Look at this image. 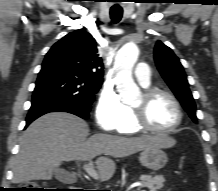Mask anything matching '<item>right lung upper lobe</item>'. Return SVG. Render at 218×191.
Instances as JSON below:
<instances>
[{
    "label": "right lung upper lobe",
    "mask_w": 218,
    "mask_h": 191,
    "mask_svg": "<svg viewBox=\"0 0 218 191\" xmlns=\"http://www.w3.org/2000/svg\"><path fill=\"white\" fill-rule=\"evenodd\" d=\"M95 39L79 29L56 42L45 56V62L63 65L94 82L102 84L103 63Z\"/></svg>",
    "instance_id": "cb5924a9"
}]
</instances>
